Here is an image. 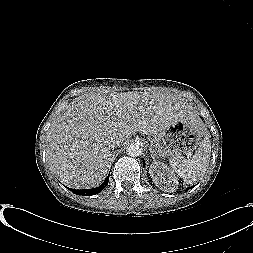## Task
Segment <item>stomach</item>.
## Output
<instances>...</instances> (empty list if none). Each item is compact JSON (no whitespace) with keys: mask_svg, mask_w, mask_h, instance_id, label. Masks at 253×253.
I'll return each mask as SVG.
<instances>
[{"mask_svg":"<svg viewBox=\"0 0 253 253\" xmlns=\"http://www.w3.org/2000/svg\"><path fill=\"white\" fill-rule=\"evenodd\" d=\"M204 133L192 119H179L162 132L153 136L150 142L152 156L170 159L183 157L198 147Z\"/></svg>","mask_w":253,"mask_h":253,"instance_id":"obj_1","label":"stomach"}]
</instances>
